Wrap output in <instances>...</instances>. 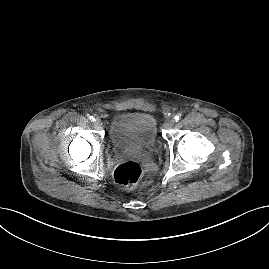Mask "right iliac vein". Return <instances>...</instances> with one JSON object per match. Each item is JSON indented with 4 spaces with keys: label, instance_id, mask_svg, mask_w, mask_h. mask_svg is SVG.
I'll use <instances>...</instances> for the list:
<instances>
[{
    "label": "right iliac vein",
    "instance_id": "right-iliac-vein-1",
    "mask_svg": "<svg viewBox=\"0 0 269 269\" xmlns=\"http://www.w3.org/2000/svg\"><path fill=\"white\" fill-rule=\"evenodd\" d=\"M93 122H94V125H95L96 127H101V126H102V122H101L100 119H95Z\"/></svg>",
    "mask_w": 269,
    "mask_h": 269
}]
</instances>
